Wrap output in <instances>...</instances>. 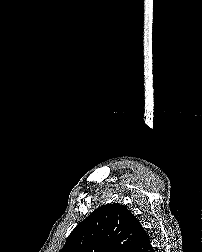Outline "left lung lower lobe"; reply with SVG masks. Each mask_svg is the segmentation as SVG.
<instances>
[{
    "label": "left lung lower lobe",
    "instance_id": "left-lung-lower-lobe-1",
    "mask_svg": "<svg viewBox=\"0 0 202 252\" xmlns=\"http://www.w3.org/2000/svg\"><path fill=\"white\" fill-rule=\"evenodd\" d=\"M134 252H154V248L151 245L150 238L142 227V225L139 228L137 243Z\"/></svg>",
    "mask_w": 202,
    "mask_h": 252
}]
</instances>
